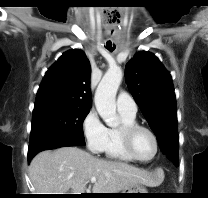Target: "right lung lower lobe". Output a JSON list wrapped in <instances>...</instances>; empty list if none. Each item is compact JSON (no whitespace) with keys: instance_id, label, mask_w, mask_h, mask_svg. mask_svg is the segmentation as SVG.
<instances>
[{"instance_id":"98d812e1","label":"right lung lower lobe","mask_w":208,"mask_h":198,"mask_svg":"<svg viewBox=\"0 0 208 198\" xmlns=\"http://www.w3.org/2000/svg\"><path fill=\"white\" fill-rule=\"evenodd\" d=\"M83 144L75 141L73 139L63 137V136H54L49 137L34 143H31L28 148V162L40 151L47 149H56L59 147L65 146H82Z\"/></svg>"}]
</instances>
